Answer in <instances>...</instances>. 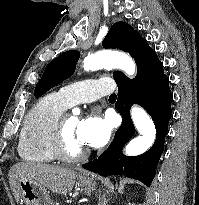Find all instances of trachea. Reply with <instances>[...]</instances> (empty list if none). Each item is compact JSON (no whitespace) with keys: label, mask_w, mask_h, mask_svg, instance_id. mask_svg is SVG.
Instances as JSON below:
<instances>
[{"label":"trachea","mask_w":199,"mask_h":205,"mask_svg":"<svg viewBox=\"0 0 199 205\" xmlns=\"http://www.w3.org/2000/svg\"><path fill=\"white\" fill-rule=\"evenodd\" d=\"M116 98H117L116 94H112V95H110V97H109V99H116Z\"/></svg>","instance_id":"3493384b"}]
</instances>
